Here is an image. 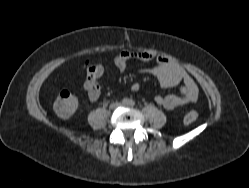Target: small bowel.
I'll return each instance as SVG.
<instances>
[{
    "label": "small bowel",
    "mask_w": 249,
    "mask_h": 188,
    "mask_svg": "<svg viewBox=\"0 0 249 188\" xmlns=\"http://www.w3.org/2000/svg\"><path fill=\"white\" fill-rule=\"evenodd\" d=\"M138 60L155 64L144 70L154 76L161 87L170 88L179 83L182 87L179 94L157 95L155 102L167 110H173L195 102L198 99L199 89L192 76L178 63L165 57L154 55L148 51H123L118 54L113 63L118 70L124 71L130 60ZM106 68L103 64L88 65L86 69V80L83 85L84 92L90 102L97 101L101 96L100 80L104 76ZM138 84H133L132 90L137 91Z\"/></svg>",
    "instance_id": "1"
}]
</instances>
